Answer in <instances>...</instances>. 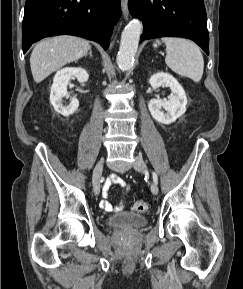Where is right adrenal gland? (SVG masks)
Returning a JSON list of instances; mask_svg holds the SVG:
<instances>
[{"label":"right adrenal gland","mask_w":243,"mask_h":289,"mask_svg":"<svg viewBox=\"0 0 243 289\" xmlns=\"http://www.w3.org/2000/svg\"><path fill=\"white\" fill-rule=\"evenodd\" d=\"M88 54H89V56H90V57H93V55H92V49H91V48H90V50H89V53H88ZM88 54H86L85 56H87Z\"/></svg>","instance_id":"obj_1"}]
</instances>
